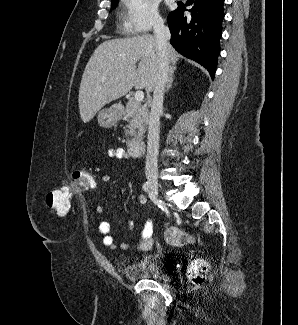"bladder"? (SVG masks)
Segmentation results:
<instances>
[{"instance_id": "obj_1", "label": "bladder", "mask_w": 298, "mask_h": 325, "mask_svg": "<svg viewBox=\"0 0 298 325\" xmlns=\"http://www.w3.org/2000/svg\"><path fill=\"white\" fill-rule=\"evenodd\" d=\"M121 273L130 281L167 280V277L161 268L160 258L157 255H147L138 261L127 264L121 268Z\"/></svg>"}]
</instances>
